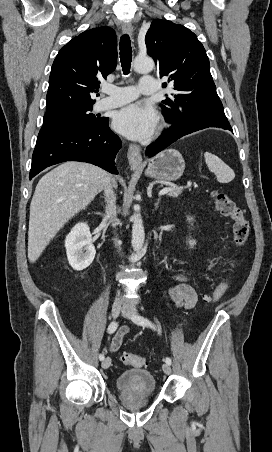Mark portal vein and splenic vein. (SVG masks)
I'll list each match as a JSON object with an SVG mask.
<instances>
[{
  "label": "portal vein and splenic vein",
  "instance_id": "1",
  "mask_svg": "<svg viewBox=\"0 0 272 452\" xmlns=\"http://www.w3.org/2000/svg\"><path fill=\"white\" fill-rule=\"evenodd\" d=\"M182 188H183V187H166V188H163V189L159 192V195L162 196V195L168 194L169 192H171V191L174 190V189H182Z\"/></svg>",
  "mask_w": 272,
  "mask_h": 452
}]
</instances>
